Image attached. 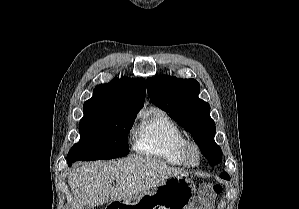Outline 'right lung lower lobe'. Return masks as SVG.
<instances>
[{"label":"right lung lower lobe","instance_id":"98d812e1","mask_svg":"<svg viewBox=\"0 0 299 209\" xmlns=\"http://www.w3.org/2000/svg\"><path fill=\"white\" fill-rule=\"evenodd\" d=\"M72 163L68 162V166H71Z\"/></svg>","mask_w":299,"mask_h":209}]
</instances>
